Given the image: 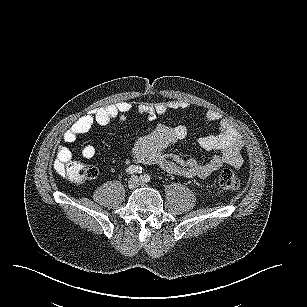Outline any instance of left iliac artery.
Listing matches in <instances>:
<instances>
[{
    "label": "left iliac artery",
    "instance_id": "obj_1",
    "mask_svg": "<svg viewBox=\"0 0 307 307\" xmlns=\"http://www.w3.org/2000/svg\"><path fill=\"white\" fill-rule=\"evenodd\" d=\"M140 179L143 181V182H149L150 181V176L149 175H141L140 176Z\"/></svg>",
    "mask_w": 307,
    "mask_h": 307
}]
</instances>
